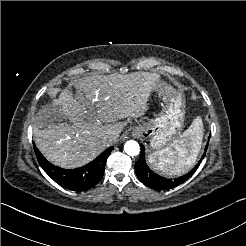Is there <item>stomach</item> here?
Returning <instances> with one entry per match:
<instances>
[{
	"label": "stomach",
	"instance_id": "obj_1",
	"mask_svg": "<svg viewBox=\"0 0 246 246\" xmlns=\"http://www.w3.org/2000/svg\"><path fill=\"white\" fill-rule=\"evenodd\" d=\"M152 92L157 93L164 101L162 111L155 119L135 127L132 134L136 137L148 138L154 149H161L174 138L182 127L184 103L181 95L173 92L163 80L157 82Z\"/></svg>",
	"mask_w": 246,
	"mask_h": 246
}]
</instances>
